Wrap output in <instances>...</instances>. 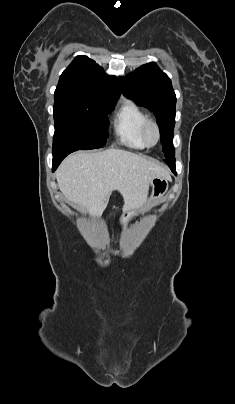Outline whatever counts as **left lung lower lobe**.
<instances>
[{
    "label": "left lung lower lobe",
    "instance_id": "1",
    "mask_svg": "<svg viewBox=\"0 0 235 404\" xmlns=\"http://www.w3.org/2000/svg\"><path fill=\"white\" fill-rule=\"evenodd\" d=\"M168 164V166L170 167L171 171L176 174V169H175V162H166Z\"/></svg>",
    "mask_w": 235,
    "mask_h": 404
}]
</instances>
